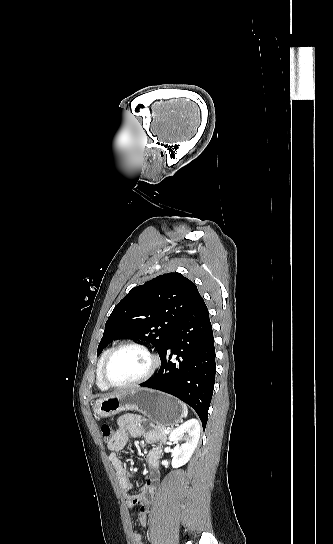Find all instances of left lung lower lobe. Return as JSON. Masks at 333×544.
I'll return each instance as SVG.
<instances>
[{
  "label": "left lung lower lobe",
  "mask_w": 333,
  "mask_h": 544,
  "mask_svg": "<svg viewBox=\"0 0 333 544\" xmlns=\"http://www.w3.org/2000/svg\"><path fill=\"white\" fill-rule=\"evenodd\" d=\"M176 355V358H172ZM158 373L141 386L171 394L190 405L205 428L216 373L208 309L200 297L183 316L160 354Z\"/></svg>",
  "instance_id": "0a47b994"
}]
</instances>
